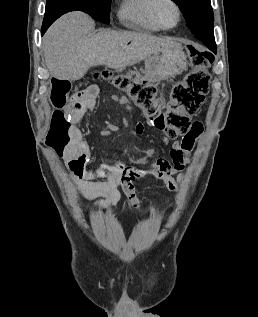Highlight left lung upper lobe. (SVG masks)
Segmentation results:
<instances>
[{"mask_svg": "<svg viewBox=\"0 0 258 317\" xmlns=\"http://www.w3.org/2000/svg\"><path fill=\"white\" fill-rule=\"evenodd\" d=\"M173 1L179 6L193 34L200 30H213L214 15L210 0Z\"/></svg>", "mask_w": 258, "mask_h": 317, "instance_id": "obj_1", "label": "left lung upper lobe"}]
</instances>
